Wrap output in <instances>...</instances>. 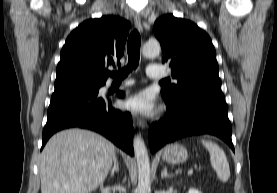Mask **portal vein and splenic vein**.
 <instances>
[{"label":"portal vein and splenic vein","instance_id":"portal-vein-and-splenic-vein-1","mask_svg":"<svg viewBox=\"0 0 277 193\" xmlns=\"http://www.w3.org/2000/svg\"><path fill=\"white\" fill-rule=\"evenodd\" d=\"M191 174H193V169L188 170V175H191Z\"/></svg>","mask_w":277,"mask_h":193}]
</instances>
